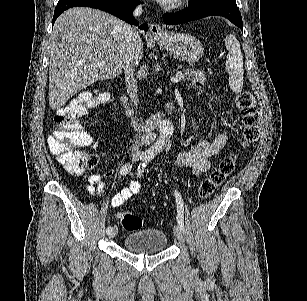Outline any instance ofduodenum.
Listing matches in <instances>:
<instances>
[{
    "label": "duodenum",
    "mask_w": 307,
    "mask_h": 301,
    "mask_svg": "<svg viewBox=\"0 0 307 301\" xmlns=\"http://www.w3.org/2000/svg\"><path fill=\"white\" fill-rule=\"evenodd\" d=\"M122 104L125 114L129 118L131 124L140 131H151L155 129L160 123V121L167 115H170L174 110V102L173 100H169L168 102H166L161 112H158L145 120H141L132 110L129 104L128 97L126 95H124L122 98Z\"/></svg>",
    "instance_id": "obj_1"
}]
</instances>
